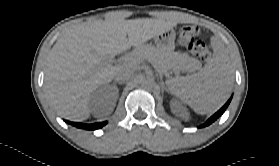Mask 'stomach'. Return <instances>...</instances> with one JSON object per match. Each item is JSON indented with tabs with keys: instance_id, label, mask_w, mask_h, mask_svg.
<instances>
[{
	"instance_id": "obj_1",
	"label": "stomach",
	"mask_w": 279,
	"mask_h": 166,
	"mask_svg": "<svg viewBox=\"0 0 279 166\" xmlns=\"http://www.w3.org/2000/svg\"><path fill=\"white\" fill-rule=\"evenodd\" d=\"M175 31L167 30L155 37L156 46L162 51H172L175 47Z\"/></svg>"
}]
</instances>
